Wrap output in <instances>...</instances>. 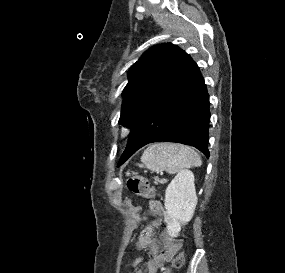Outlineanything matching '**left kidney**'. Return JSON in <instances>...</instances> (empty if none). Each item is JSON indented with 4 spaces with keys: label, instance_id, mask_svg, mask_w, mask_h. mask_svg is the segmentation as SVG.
Here are the masks:
<instances>
[{
    "label": "left kidney",
    "instance_id": "left-kidney-1",
    "mask_svg": "<svg viewBox=\"0 0 285 273\" xmlns=\"http://www.w3.org/2000/svg\"><path fill=\"white\" fill-rule=\"evenodd\" d=\"M196 204L194 175L189 170H183L171 181L165 192L167 232L171 237L178 236L181 224L192 219Z\"/></svg>",
    "mask_w": 285,
    "mask_h": 273
}]
</instances>
